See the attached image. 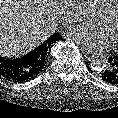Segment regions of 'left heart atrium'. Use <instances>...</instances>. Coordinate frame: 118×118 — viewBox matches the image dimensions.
<instances>
[{
    "label": "left heart atrium",
    "mask_w": 118,
    "mask_h": 118,
    "mask_svg": "<svg viewBox=\"0 0 118 118\" xmlns=\"http://www.w3.org/2000/svg\"><path fill=\"white\" fill-rule=\"evenodd\" d=\"M69 36L76 42L89 48L104 49L111 41L105 30L98 25H79L69 32Z\"/></svg>",
    "instance_id": "1"
}]
</instances>
